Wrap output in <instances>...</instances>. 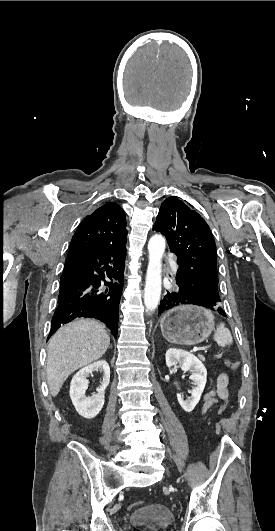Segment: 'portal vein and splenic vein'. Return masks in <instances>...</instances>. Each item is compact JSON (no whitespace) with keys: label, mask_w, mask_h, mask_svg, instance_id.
<instances>
[{"label":"portal vein and splenic vein","mask_w":275,"mask_h":531,"mask_svg":"<svg viewBox=\"0 0 275 531\" xmlns=\"http://www.w3.org/2000/svg\"><path fill=\"white\" fill-rule=\"evenodd\" d=\"M194 352H199V350H207V347H193Z\"/></svg>","instance_id":"obj_1"}]
</instances>
